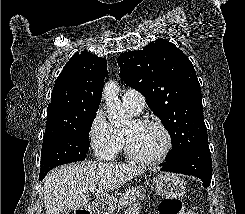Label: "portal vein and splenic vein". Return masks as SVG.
<instances>
[{
	"mask_svg": "<svg viewBox=\"0 0 245 214\" xmlns=\"http://www.w3.org/2000/svg\"><path fill=\"white\" fill-rule=\"evenodd\" d=\"M90 191H91L92 193L96 192V187H95V186H91V187H90Z\"/></svg>",
	"mask_w": 245,
	"mask_h": 214,
	"instance_id": "portal-vein-and-splenic-vein-1",
	"label": "portal vein and splenic vein"
}]
</instances>
